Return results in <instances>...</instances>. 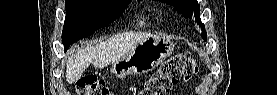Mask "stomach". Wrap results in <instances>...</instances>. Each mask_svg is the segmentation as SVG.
<instances>
[{"label":"stomach","mask_w":277,"mask_h":95,"mask_svg":"<svg viewBox=\"0 0 277 95\" xmlns=\"http://www.w3.org/2000/svg\"><path fill=\"white\" fill-rule=\"evenodd\" d=\"M174 50V44L167 38L149 37L141 41L120 60L112 64V72L118 78L127 75H142L152 71Z\"/></svg>","instance_id":"stomach-1"}]
</instances>
